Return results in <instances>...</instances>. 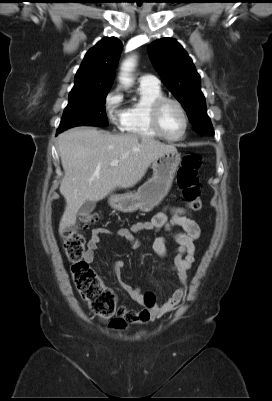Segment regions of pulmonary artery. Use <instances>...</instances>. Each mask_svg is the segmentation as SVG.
Wrapping results in <instances>:
<instances>
[{
    "instance_id": "1",
    "label": "pulmonary artery",
    "mask_w": 272,
    "mask_h": 401,
    "mask_svg": "<svg viewBox=\"0 0 272 401\" xmlns=\"http://www.w3.org/2000/svg\"><path fill=\"white\" fill-rule=\"evenodd\" d=\"M139 83L142 86L158 87L160 82L155 76L145 74L139 78Z\"/></svg>"
}]
</instances>
